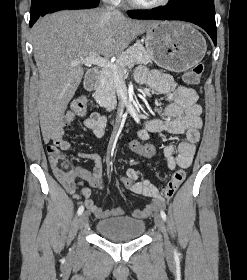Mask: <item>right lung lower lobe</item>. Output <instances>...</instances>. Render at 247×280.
Here are the masks:
<instances>
[{
	"label": "right lung lower lobe",
	"mask_w": 247,
	"mask_h": 280,
	"mask_svg": "<svg viewBox=\"0 0 247 280\" xmlns=\"http://www.w3.org/2000/svg\"><path fill=\"white\" fill-rule=\"evenodd\" d=\"M98 1L94 0H58L45 7L36 17L30 18V27L35 23L39 16L47 13L63 10V9H84L93 8L98 5Z\"/></svg>",
	"instance_id": "right-lung-lower-lobe-1"
}]
</instances>
